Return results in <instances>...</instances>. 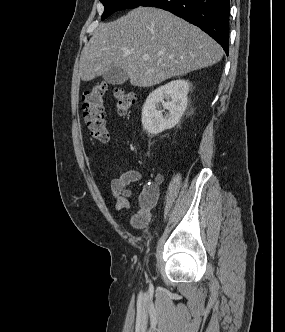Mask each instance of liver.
<instances>
[{
    "instance_id": "liver-1",
    "label": "liver",
    "mask_w": 285,
    "mask_h": 332,
    "mask_svg": "<svg viewBox=\"0 0 285 332\" xmlns=\"http://www.w3.org/2000/svg\"><path fill=\"white\" fill-rule=\"evenodd\" d=\"M222 57L221 46L198 27L165 10L138 7L97 26L81 52L79 76L91 81L119 67L131 85L151 87L212 66Z\"/></svg>"
}]
</instances>
